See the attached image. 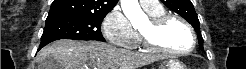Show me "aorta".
Wrapping results in <instances>:
<instances>
[{"instance_id":"1","label":"aorta","mask_w":246,"mask_h":69,"mask_svg":"<svg viewBox=\"0 0 246 69\" xmlns=\"http://www.w3.org/2000/svg\"><path fill=\"white\" fill-rule=\"evenodd\" d=\"M120 2L123 13L133 26L146 19L147 16L140 8L138 0H121Z\"/></svg>"}]
</instances>
